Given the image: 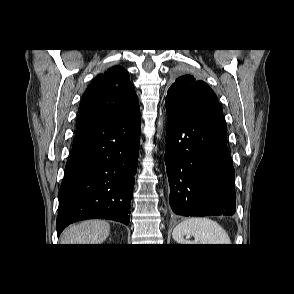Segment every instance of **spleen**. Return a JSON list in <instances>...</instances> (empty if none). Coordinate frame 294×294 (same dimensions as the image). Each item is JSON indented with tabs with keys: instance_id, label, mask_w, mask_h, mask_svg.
I'll list each match as a JSON object with an SVG mask.
<instances>
[{
	"instance_id": "spleen-1",
	"label": "spleen",
	"mask_w": 294,
	"mask_h": 294,
	"mask_svg": "<svg viewBox=\"0 0 294 294\" xmlns=\"http://www.w3.org/2000/svg\"><path fill=\"white\" fill-rule=\"evenodd\" d=\"M186 235H192L194 241L185 239ZM172 237L178 244H231L226 231L207 217L185 219L174 228Z\"/></svg>"
}]
</instances>
